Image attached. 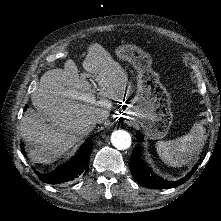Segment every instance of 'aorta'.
<instances>
[{"label": "aorta", "instance_id": "1", "mask_svg": "<svg viewBox=\"0 0 221 221\" xmlns=\"http://www.w3.org/2000/svg\"><path fill=\"white\" fill-rule=\"evenodd\" d=\"M111 142L118 150H125L131 146V136L124 130H116L111 135Z\"/></svg>", "mask_w": 221, "mask_h": 221}]
</instances>
